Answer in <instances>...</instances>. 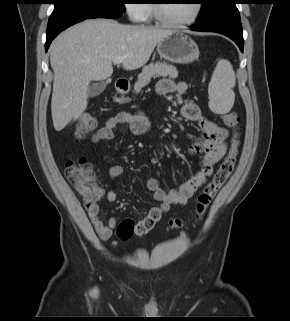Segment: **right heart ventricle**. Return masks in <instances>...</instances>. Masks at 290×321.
<instances>
[{
  "mask_svg": "<svg viewBox=\"0 0 290 321\" xmlns=\"http://www.w3.org/2000/svg\"><path fill=\"white\" fill-rule=\"evenodd\" d=\"M144 10H145V15H144V21L150 22L153 18V10H152V5L150 4H145L143 5Z\"/></svg>",
  "mask_w": 290,
  "mask_h": 321,
  "instance_id": "obj_1",
  "label": "right heart ventricle"
}]
</instances>
